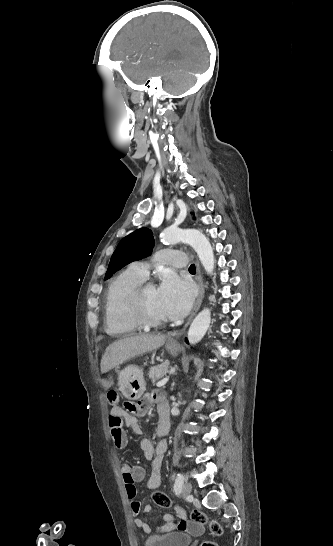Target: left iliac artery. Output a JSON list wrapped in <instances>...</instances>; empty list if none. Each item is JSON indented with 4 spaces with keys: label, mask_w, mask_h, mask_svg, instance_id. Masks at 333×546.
I'll list each match as a JSON object with an SVG mask.
<instances>
[{
    "label": "left iliac artery",
    "mask_w": 333,
    "mask_h": 546,
    "mask_svg": "<svg viewBox=\"0 0 333 546\" xmlns=\"http://www.w3.org/2000/svg\"><path fill=\"white\" fill-rule=\"evenodd\" d=\"M184 482V476L181 473L177 474L175 484H174V492H178L181 490Z\"/></svg>",
    "instance_id": "left-iliac-artery-1"
}]
</instances>
